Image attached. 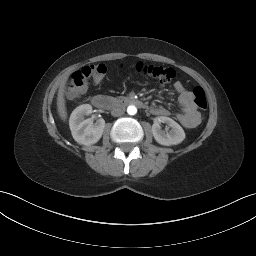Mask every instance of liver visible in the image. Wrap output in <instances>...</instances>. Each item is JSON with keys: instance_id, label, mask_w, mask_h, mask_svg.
Returning a JSON list of instances; mask_svg holds the SVG:
<instances>
[{"instance_id": "6515ba94", "label": "liver", "mask_w": 256, "mask_h": 256, "mask_svg": "<svg viewBox=\"0 0 256 256\" xmlns=\"http://www.w3.org/2000/svg\"><path fill=\"white\" fill-rule=\"evenodd\" d=\"M67 79H68V75L63 77V79L60 82L58 94H57V112L59 117L63 121L67 119L66 101L64 98Z\"/></svg>"}]
</instances>
